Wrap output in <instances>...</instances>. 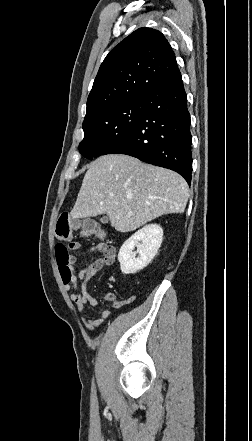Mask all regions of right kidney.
Here are the masks:
<instances>
[{
	"label": "right kidney",
	"instance_id": "ca27d5eb",
	"mask_svg": "<svg viewBox=\"0 0 252 441\" xmlns=\"http://www.w3.org/2000/svg\"><path fill=\"white\" fill-rule=\"evenodd\" d=\"M162 240L163 229L158 224H149L135 232L124 242L118 253L122 273L135 274L145 268L156 255ZM135 247L136 252L133 251Z\"/></svg>",
	"mask_w": 252,
	"mask_h": 441
}]
</instances>
